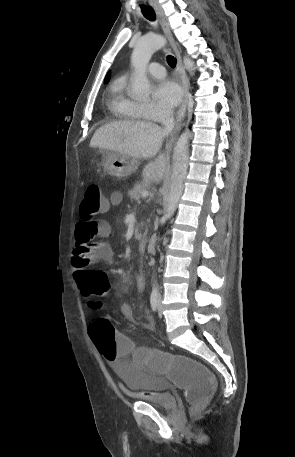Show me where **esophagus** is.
<instances>
[{
    "label": "esophagus",
    "mask_w": 295,
    "mask_h": 457,
    "mask_svg": "<svg viewBox=\"0 0 295 457\" xmlns=\"http://www.w3.org/2000/svg\"><path fill=\"white\" fill-rule=\"evenodd\" d=\"M153 8L157 14V17L162 26V29H163L166 37L168 38L170 45L172 46V48L174 50V53H175V56L177 59L176 69L181 78V84H182V89H183V100H182V104L177 112V117H176V129H178L180 127L181 121L183 120L185 113H186V108H187V104H188V95H189V82H188L185 70L183 68V65H182L180 53L174 42V39H173L171 30L168 26V23L166 22V19L163 15L162 11L158 8V6L154 5ZM171 141H172V139H171ZM171 141L168 143L167 147L171 146Z\"/></svg>",
    "instance_id": "1"
}]
</instances>
